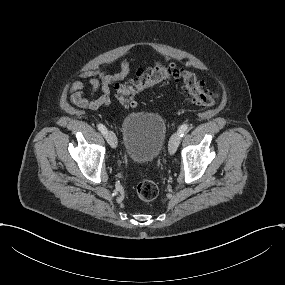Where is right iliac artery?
Wrapping results in <instances>:
<instances>
[{
  "instance_id": "82829eb1",
  "label": "right iliac artery",
  "mask_w": 285,
  "mask_h": 285,
  "mask_svg": "<svg viewBox=\"0 0 285 285\" xmlns=\"http://www.w3.org/2000/svg\"><path fill=\"white\" fill-rule=\"evenodd\" d=\"M97 127H98V129L101 131V133L106 136V133H107L106 127H105L103 124H101V123H99V124L97 125Z\"/></svg>"
}]
</instances>
